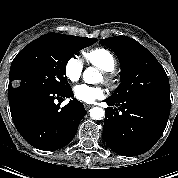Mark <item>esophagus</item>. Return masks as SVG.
<instances>
[{
  "label": "esophagus",
  "mask_w": 178,
  "mask_h": 178,
  "mask_svg": "<svg viewBox=\"0 0 178 178\" xmlns=\"http://www.w3.org/2000/svg\"><path fill=\"white\" fill-rule=\"evenodd\" d=\"M84 107H85L86 110H88L89 108L92 107V105H90V104H84Z\"/></svg>",
  "instance_id": "obj_1"
}]
</instances>
